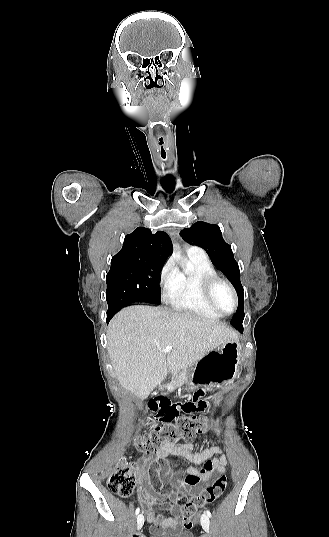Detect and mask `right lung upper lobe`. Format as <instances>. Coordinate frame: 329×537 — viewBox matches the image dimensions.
Segmentation results:
<instances>
[{
  "instance_id": "cb5924a9",
  "label": "right lung upper lobe",
  "mask_w": 329,
  "mask_h": 537,
  "mask_svg": "<svg viewBox=\"0 0 329 537\" xmlns=\"http://www.w3.org/2000/svg\"><path fill=\"white\" fill-rule=\"evenodd\" d=\"M170 238L162 231L155 234L144 227H138L125 236L123 247L112 257L111 269L165 263L171 251Z\"/></svg>"
}]
</instances>
